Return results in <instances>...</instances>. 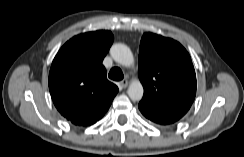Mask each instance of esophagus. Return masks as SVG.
I'll use <instances>...</instances> for the list:
<instances>
[{"instance_id": "1", "label": "esophagus", "mask_w": 244, "mask_h": 157, "mask_svg": "<svg viewBox=\"0 0 244 157\" xmlns=\"http://www.w3.org/2000/svg\"><path fill=\"white\" fill-rule=\"evenodd\" d=\"M120 86L122 88H126L128 86V80L124 79L120 82Z\"/></svg>"}]
</instances>
